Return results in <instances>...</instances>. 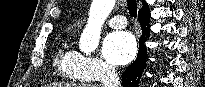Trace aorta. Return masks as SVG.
<instances>
[{"label":"aorta","instance_id":"762f6f07","mask_svg":"<svg viewBox=\"0 0 205 87\" xmlns=\"http://www.w3.org/2000/svg\"><path fill=\"white\" fill-rule=\"evenodd\" d=\"M115 2L116 0L92 1L88 22L79 42V47L83 52L89 53L98 47L102 25L113 10Z\"/></svg>","mask_w":205,"mask_h":87}]
</instances>
